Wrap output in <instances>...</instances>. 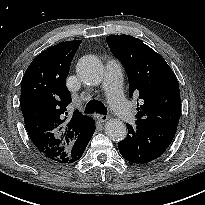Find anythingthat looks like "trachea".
<instances>
[{
    "instance_id": "3493384b",
    "label": "trachea",
    "mask_w": 205,
    "mask_h": 205,
    "mask_svg": "<svg viewBox=\"0 0 205 205\" xmlns=\"http://www.w3.org/2000/svg\"><path fill=\"white\" fill-rule=\"evenodd\" d=\"M98 112L100 114H107V108L104 106V104L97 100H90L86 107H85V113H94Z\"/></svg>"
}]
</instances>
